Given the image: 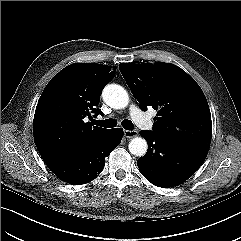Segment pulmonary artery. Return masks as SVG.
<instances>
[{"instance_id": "e3ab8cb5", "label": "pulmonary artery", "mask_w": 241, "mask_h": 241, "mask_svg": "<svg viewBox=\"0 0 241 241\" xmlns=\"http://www.w3.org/2000/svg\"><path fill=\"white\" fill-rule=\"evenodd\" d=\"M130 115L140 127L144 129L151 128V121L141 112L137 106L131 105Z\"/></svg>"}]
</instances>
